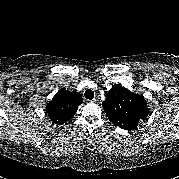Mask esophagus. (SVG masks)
<instances>
[{
    "label": "esophagus",
    "mask_w": 179,
    "mask_h": 179,
    "mask_svg": "<svg viewBox=\"0 0 179 179\" xmlns=\"http://www.w3.org/2000/svg\"><path fill=\"white\" fill-rule=\"evenodd\" d=\"M99 96H95L94 99H93V102H98L99 101Z\"/></svg>",
    "instance_id": "34e87169"
}]
</instances>
